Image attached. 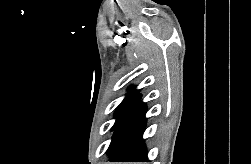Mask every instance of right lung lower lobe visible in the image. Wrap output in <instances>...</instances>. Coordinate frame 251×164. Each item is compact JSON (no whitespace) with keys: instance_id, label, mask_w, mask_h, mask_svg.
I'll return each instance as SVG.
<instances>
[{"instance_id":"1","label":"right lung lower lobe","mask_w":251,"mask_h":164,"mask_svg":"<svg viewBox=\"0 0 251 164\" xmlns=\"http://www.w3.org/2000/svg\"><path fill=\"white\" fill-rule=\"evenodd\" d=\"M146 105L139 100L114 125L108 149L112 162H148L142 135L145 128Z\"/></svg>"}]
</instances>
